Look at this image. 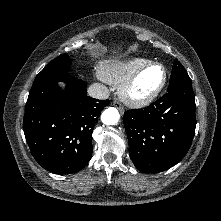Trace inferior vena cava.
I'll use <instances>...</instances> for the list:
<instances>
[{"instance_id": "inferior-vena-cava-1", "label": "inferior vena cava", "mask_w": 221, "mask_h": 221, "mask_svg": "<svg viewBox=\"0 0 221 221\" xmlns=\"http://www.w3.org/2000/svg\"><path fill=\"white\" fill-rule=\"evenodd\" d=\"M88 94L96 99H107L110 95L108 88L100 83L90 85L88 88Z\"/></svg>"}]
</instances>
